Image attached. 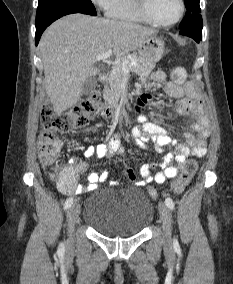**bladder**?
Masks as SVG:
<instances>
[{"mask_svg": "<svg viewBox=\"0 0 233 284\" xmlns=\"http://www.w3.org/2000/svg\"><path fill=\"white\" fill-rule=\"evenodd\" d=\"M154 206L141 190L96 192L86 201L84 223L107 237H131L142 233L152 222Z\"/></svg>", "mask_w": 233, "mask_h": 284, "instance_id": "1", "label": "bladder"}]
</instances>
